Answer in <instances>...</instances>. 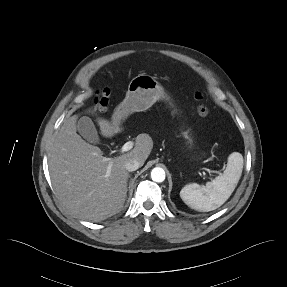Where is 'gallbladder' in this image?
<instances>
[{
    "mask_svg": "<svg viewBox=\"0 0 287 287\" xmlns=\"http://www.w3.org/2000/svg\"><path fill=\"white\" fill-rule=\"evenodd\" d=\"M77 130L79 134L91 143H98L99 137L95 125L91 118L82 116L77 123Z\"/></svg>",
    "mask_w": 287,
    "mask_h": 287,
    "instance_id": "gallbladder-1",
    "label": "gallbladder"
}]
</instances>
